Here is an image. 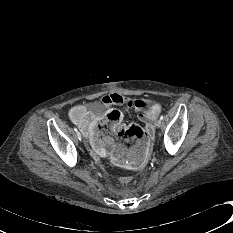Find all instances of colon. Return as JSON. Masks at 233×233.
Here are the masks:
<instances>
[{
	"instance_id": "colon-1",
	"label": "colon",
	"mask_w": 233,
	"mask_h": 233,
	"mask_svg": "<svg viewBox=\"0 0 233 233\" xmlns=\"http://www.w3.org/2000/svg\"><path fill=\"white\" fill-rule=\"evenodd\" d=\"M78 114L79 113L77 112L75 114V117H77ZM108 118L109 117H107V119ZM118 135L121 136L122 140L126 144L134 142V140L139 136L145 137V134H144L142 128L136 124H131L128 126H125V125L120 126L119 130H118Z\"/></svg>"
}]
</instances>
